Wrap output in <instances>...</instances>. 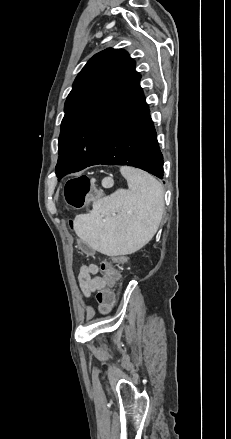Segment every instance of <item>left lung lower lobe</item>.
Wrapping results in <instances>:
<instances>
[{"mask_svg":"<svg viewBox=\"0 0 231 439\" xmlns=\"http://www.w3.org/2000/svg\"><path fill=\"white\" fill-rule=\"evenodd\" d=\"M128 165L163 178V156L143 91L86 167Z\"/></svg>","mask_w":231,"mask_h":439,"instance_id":"1","label":"left lung lower lobe"}]
</instances>
